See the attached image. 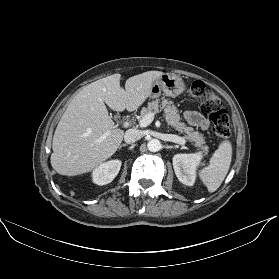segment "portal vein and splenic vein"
Returning a JSON list of instances; mask_svg holds the SVG:
<instances>
[{
    "label": "portal vein and splenic vein",
    "mask_w": 279,
    "mask_h": 279,
    "mask_svg": "<svg viewBox=\"0 0 279 279\" xmlns=\"http://www.w3.org/2000/svg\"><path fill=\"white\" fill-rule=\"evenodd\" d=\"M153 120H154V113H148L139 121V126L141 128L147 127L149 124L152 123ZM129 125H130V122H124V124H123L124 127H128ZM107 135H108V133L103 135L102 138L104 139Z\"/></svg>",
    "instance_id": "obj_1"
}]
</instances>
